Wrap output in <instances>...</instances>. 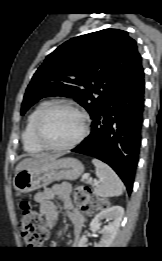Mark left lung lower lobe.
<instances>
[{"instance_id":"1","label":"left lung lower lobe","mask_w":162,"mask_h":261,"mask_svg":"<svg viewBox=\"0 0 162 261\" xmlns=\"http://www.w3.org/2000/svg\"><path fill=\"white\" fill-rule=\"evenodd\" d=\"M144 108V70L140 65L119 82L91 117V133L72 152L107 163L131 194L138 163Z\"/></svg>"}]
</instances>
